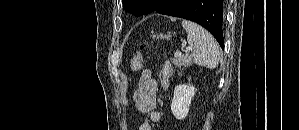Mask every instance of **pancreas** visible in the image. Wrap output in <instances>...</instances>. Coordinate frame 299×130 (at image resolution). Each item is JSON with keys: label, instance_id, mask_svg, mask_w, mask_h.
<instances>
[{"label": "pancreas", "instance_id": "cf45deb5", "mask_svg": "<svg viewBox=\"0 0 299 130\" xmlns=\"http://www.w3.org/2000/svg\"><path fill=\"white\" fill-rule=\"evenodd\" d=\"M171 61L176 67H187L192 64V60L189 55L175 56Z\"/></svg>", "mask_w": 299, "mask_h": 130}]
</instances>
